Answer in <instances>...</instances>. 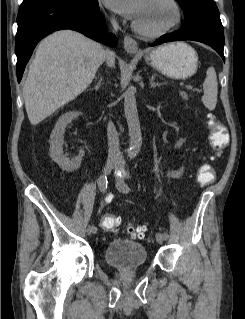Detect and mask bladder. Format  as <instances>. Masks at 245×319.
I'll return each mask as SVG.
<instances>
[{
  "instance_id": "obj_1",
  "label": "bladder",
  "mask_w": 245,
  "mask_h": 319,
  "mask_svg": "<svg viewBox=\"0 0 245 319\" xmlns=\"http://www.w3.org/2000/svg\"><path fill=\"white\" fill-rule=\"evenodd\" d=\"M104 259L108 265L126 269L144 265L148 260V254L141 243L116 238L106 245Z\"/></svg>"
}]
</instances>
